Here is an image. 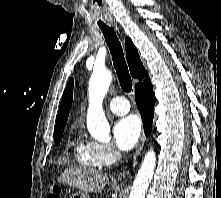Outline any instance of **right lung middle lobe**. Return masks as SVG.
<instances>
[{"label": "right lung middle lobe", "mask_w": 221, "mask_h": 198, "mask_svg": "<svg viewBox=\"0 0 221 198\" xmlns=\"http://www.w3.org/2000/svg\"><path fill=\"white\" fill-rule=\"evenodd\" d=\"M63 131H64V129H61V130L55 132V136H54L55 145H59Z\"/></svg>", "instance_id": "obj_1"}]
</instances>
